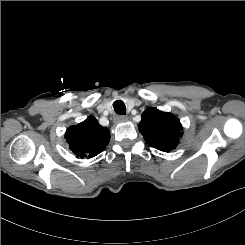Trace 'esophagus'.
<instances>
[{"label": "esophagus", "instance_id": "1", "mask_svg": "<svg viewBox=\"0 0 245 245\" xmlns=\"http://www.w3.org/2000/svg\"><path fill=\"white\" fill-rule=\"evenodd\" d=\"M115 121L118 122V123L126 122V121H128V117L120 115V116H117L115 118Z\"/></svg>", "mask_w": 245, "mask_h": 245}]
</instances>
